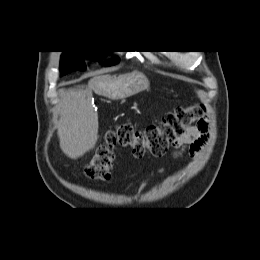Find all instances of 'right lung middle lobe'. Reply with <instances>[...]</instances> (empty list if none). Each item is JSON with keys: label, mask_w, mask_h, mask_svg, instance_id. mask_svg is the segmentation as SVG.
<instances>
[{"label": "right lung middle lobe", "mask_w": 260, "mask_h": 260, "mask_svg": "<svg viewBox=\"0 0 260 260\" xmlns=\"http://www.w3.org/2000/svg\"><path fill=\"white\" fill-rule=\"evenodd\" d=\"M105 54V51H64L61 56L60 71L62 75L75 70H84L85 64L82 62L85 56H91L94 59ZM119 62V59H113L106 62L105 66H112Z\"/></svg>", "instance_id": "obj_1"}]
</instances>
